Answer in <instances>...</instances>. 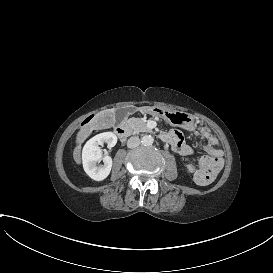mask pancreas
Instances as JSON below:
<instances>
[{
	"label": "pancreas",
	"mask_w": 273,
	"mask_h": 273,
	"mask_svg": "<svg viewBox=\"0 0 273 273\" xmlns=\"http://www.w3.org/2000/svg\"><path fill=\"white\" fill-rule=\"evenodd\" d=\"M127 126L132 130L133 134H139L141 132H152L148 128L147 123L143 121L140 117H132L126 121Z\"/></svg>",
	"instance_id": "obj_1"
}]
</instances>
